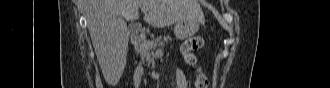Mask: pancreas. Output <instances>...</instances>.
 <instances>
[{
  "label": "pancreas",
  "mask_w": 330,
  "mask_h": 88,
  "mask_svg": "<svg viewBox=\"0 0 330 88\" xmlns=\"http://www.w3.org/2000/svg\"><path fill=\"white\" fill-rule=\"evenodd\" d=\"M171 41V37L167 36H160L152 40H146L142 43L140 48V55L142 58H145L148 62H151L154 59V51L158 47H163Z\"/></svg>",
  "instance_id": "cf45deb5"
}]
</instances>
